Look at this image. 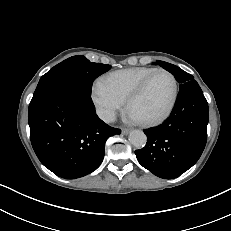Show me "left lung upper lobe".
<instances>
[{
	"label": "left lung upper lobe",
	"instance_id": "5c2ea615",
	"mask_svg": "<svg viewBox=\"0 0 231 231\" xmlns=\"http://www.w3.org/2000/svg\"><path fill=\"white\" fill-rule=\"evenodd\" d=\"M157 64L169 71L170 73H172L180 84L194 79L192 75L183 71L182 69L173 64L159 60L157 61Z\"/></svg>",
	"mask_w": 231,
	"mask_h": 231
}]
</instances>
